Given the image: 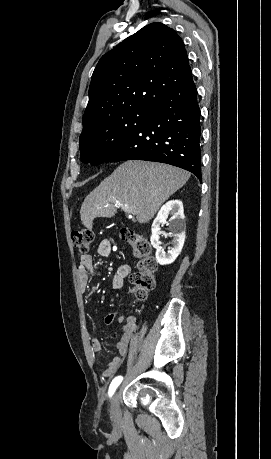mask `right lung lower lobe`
<instances>
[{
	"label": "right lung lower lobe",
	"instance_id": "98d812e1",
	"mask_svg": "<svg viewBox=\"0 0 271 459\" xmlns=\"http://www.w3.org/2000/svg\"><path fill=\"white\" fill-rule=\"evenodd\" d=\"M193 79L160 98L152 114L106 162L147 160L192 172L201 182V123Z\"/></svg>",
	"mask_w": 271,
	"mask_h": 459
}]
</instances>
